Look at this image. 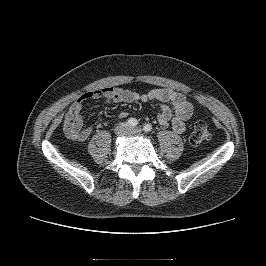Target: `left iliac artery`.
I'll return each mask as SVG.
<instances>
[{
  "label": "left iliac artery",
  "mask_w": 266,
  "mask_h": 266,
  "mask_svg": "<svg viewBox=\"0 0 266 266\" xmlns=\"http://www.w3.org/2000/svg\"><path fill=\"white\" fill-rule=\"evenodd\" d=\"M143 130L146 132H149L152 130V125L150 123H147L143 126Z\"/></svg>",
  "instance_id": "left-iliac-artery-1"
}]
</instances>
